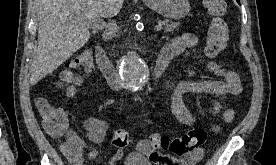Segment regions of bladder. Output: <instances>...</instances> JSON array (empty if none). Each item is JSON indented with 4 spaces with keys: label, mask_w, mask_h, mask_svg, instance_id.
<instances>
[{
    "label": "bladder",
    "mask_w": 276,
    "mask_h": 165,
    "mask_svg": "<svg viewBox=\"0 0 276 165\" xmlns=\"http://www.w3.org/2000/svg\"><path fill=\"white\" fill-rule=\"evenodd\" d=\"M124 165H152L149 160L141 155H132Z\"/></svg>",
    "instance_id": "bladder-1"
}]
</instances>
